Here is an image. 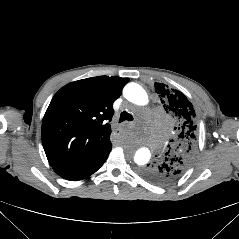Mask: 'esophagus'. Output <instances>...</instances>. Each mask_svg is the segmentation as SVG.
Instances as JSON below:
<instances>
[{
    "label": "esophagus",
    "instance_id": "esophagus-1",
    "mask_svg": "<svg viewBox=\"0 0 239 239\" xmlns=\"http://www.w3.org/2000/svg\"><path fill=\"white\" fill-rule=\"evenodd\" d=\"M112 134L114 136H119L121 134V128L119 126H114L112 128Z\"/></svg>",
    "mask_w": 239,
    "mask_h": 239
}]
</instances>
